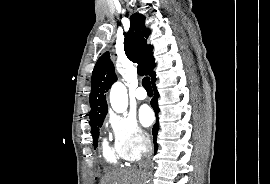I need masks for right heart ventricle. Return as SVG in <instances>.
<instances>
[{"instance_id":"right-heart-ventricle-1","label":"right heart ventricle","mask_w":270,"mask_h":184,"mask_svg":"<svg viewBox=\"0 0 270 184\" xmlns=\"http://www.w3.org/2000/svg\"><path fill=\"white\" fill-rule=\"evenodd\" d=\"M102 150L105 160L110 164L116 165L122 159L116 150L111 148L107 142H103Z\"/></svg>"}]
</instances>
